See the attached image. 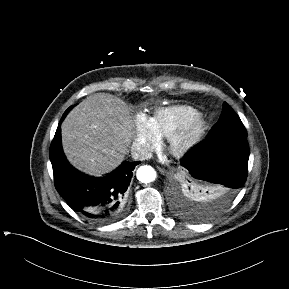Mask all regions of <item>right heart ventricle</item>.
Returning <instances> with one entry per match:
<instances>
[{"mask_svg":"<svg viewBox=\"0 0 289 289\" xmlns=\"http://www.w3.org/2000/svg\"><path fill=\"white\" fill-rule=\"evenodd\" d=\"M199 116L200 113L191 106L175 105L156 109L150 117V123L160 140L170 139Z\"/></svg>","mask_w":289,"mask_h":289,"instance_id":"1","label":"right heart ventricle"}]
</instances>
